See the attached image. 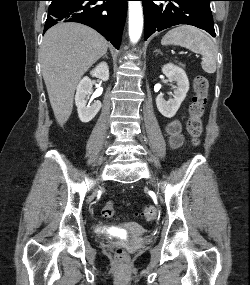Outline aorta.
Here are the masks:
<instances>
[{"mask_svg":"<svg viewBox=\"0 0 250 285\" xmlns=\"http://www.w3.org/2000/svg\"><path fill=\"white\" fill-rule=\"evenodd\" d=\"M129 13V38L132 43H137L143 29V9L141 1L128 2Z\"/></svg>","mask_w":250,"mask_h":285,"instance_id":"obj_1","label":"aorta"}]
</instances>
